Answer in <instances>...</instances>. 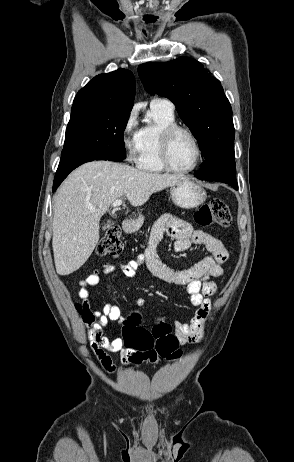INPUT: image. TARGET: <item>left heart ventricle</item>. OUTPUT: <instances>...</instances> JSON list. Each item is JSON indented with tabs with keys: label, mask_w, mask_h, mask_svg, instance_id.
<instances>
[{
	"label": "left heart ventricle",
	"mask_w": 294,
	"mask_h": 462,
	"mask_svg": "<svg viewBox=\"0 0 294 462\" xmlns=\"http://www.w3.org/2000/svg\"><path fill=\"white\" fill-rule=\"evenodd\" d=\"M196 157V148L192 139L185 133H177L170 147V159L177 168L190 167Z\"/></svg>",
	"instance_id": "1"
}]
</instances>
